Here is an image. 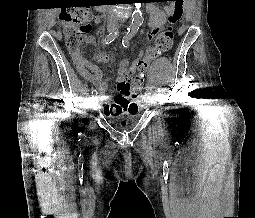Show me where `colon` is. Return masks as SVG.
<instances>
[{
	"label": "colon",
	"instance_id": "5ec220e1",
	"mask_svg": "<svg viewBox=\"0 0 255 218\" xmlns=\"http://www.w3.org/2000/svg\"><path fill=\"white\" fill-rule=\"evenodd\" d=\"M165 1H171L173 4H175L176 8L174 12L168 16L167 22L169 28L164 30L157 37L154 47L149 49L147 53V59H153L158 55L166 52L170 49L173 42V30L171 27L181 16L182 9L178 5L182 0ZM60 17L65 25V36L69 51L72 54L74 62L78 65L79 70L83 73V58L80 55L78 49L91 30L93 15L86 8L69 7L62 10ZM146 68V60L140 61L138 64L137 76L131 81V83L120 86V88L127 94L129 99L131 97H136L141 93L143 82L142 75ZM136 110V105L128 100L124 104L118 105L115 110H113V113L135 112Z\"/></svg>",
	"mask_w": 255,
	"mask_h": 218
}]
</instances>
